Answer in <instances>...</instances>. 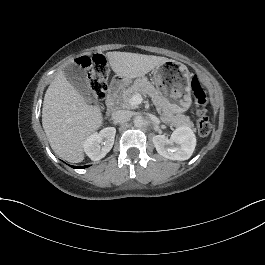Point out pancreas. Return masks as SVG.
Here are the masks:
<instances>
[{"label":"pancreas","mask_w":265,"mask_h":265,"mask_svg":"<svg viewBox=\"0 0 265 265\" xmlns=\"http://www.w3.org/2000/svg\"><path fill=\"white\" fill-rule=\"evenodd\" d=\"M140 93L142 95H149L152 98L154 105L158 110L162 111L161 119L164 123L172 126L186 125L193 127V122L190 121L189 117L181 114L175 115V106L169 102L167 98L162 96L158 90L148 81L146 77L137 78L133 85L123 91L121 99L123 107L127 109H133L134 107L129 103L131 97Z\"/></svg>","instance_id":"cf45deb5"}]
</instances>
